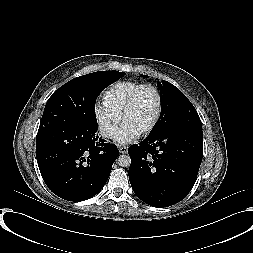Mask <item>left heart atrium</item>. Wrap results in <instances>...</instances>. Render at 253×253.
<instances>
[{
    "mask_svg": "<svg viewBox=\"0 0 253 253\" xmlns=\"http://www.w3.org/2000/svg\"><path fill=\"white\" fill-rule=\"evenodd\" d=\"M139 135V131H137L127 123H122L115 131L113 139L118 143L127 144L135 141L139 137Z\"/></svg>",
    "mask_w": 253,
    "mask_h": 253,
    "instance_id": "obj_1",
    "label": "left heart atrium"
}]
</instances>
